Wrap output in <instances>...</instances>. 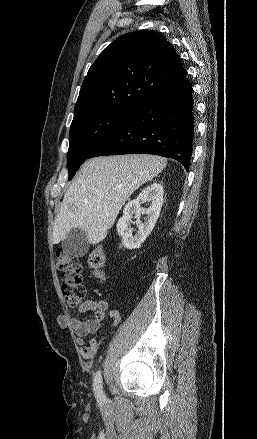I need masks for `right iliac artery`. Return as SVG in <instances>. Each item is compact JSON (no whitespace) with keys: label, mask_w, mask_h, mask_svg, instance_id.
<instances>
[{"label":"right iliac artery","mask_w":257,"mask_h":439,"mask_svg":"<svg viewBox=\"0 0 257 439\" xmlns=\"http://www.w3.org/2000/svg\"><path fill=\"white\" fill-rule=\"evenodd\" d=\"M93 388H94V392H95V396H96L97 400L101 401V402L105 401L106 396H105L103 389H102V376H101L100 371H97V373L94 376Z\"/></svg>","instance_id":"1"}]
</instances>
